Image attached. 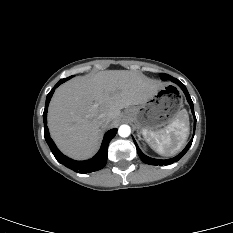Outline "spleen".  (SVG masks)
I'll use <instances>...</instances> for the list:
<instances>
[{"instance_id": "obj_1", "label": "spleen", "mask_w": 233, "mask_h": 233, "mask_svg": "<svg viewBox=\"0 0 233 233\" xmlns=\"http://www.w3.org/2000/svg\"><path fill=\"white\" fill-rule=\"evenodd\" d=\"M189 135V117L187 111L182 109L175 119L164 129L143 132L149 146L158 154L170 156L179 151Z\"/></svg>"}]
</instances>
